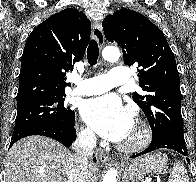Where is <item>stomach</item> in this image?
Returning <instances> with one entry per match:
<instances>
[{
	"mask_svg": "<svg viewBox=\"0 0 196 182\" xmlns=\"http://www.w3.org/2000/svg\"><path fill=\"white\" fill-rule=\"evenodd\" d=\"M168 160L160 153H153L128 163L123 169L125 182H138L147 174H161L167 169Z\"/></svg>",
	"mask_w": 196,
	"mask_h": 182,
	"instance_id": "1",
	"label": "stomach"
}]
</instances>
